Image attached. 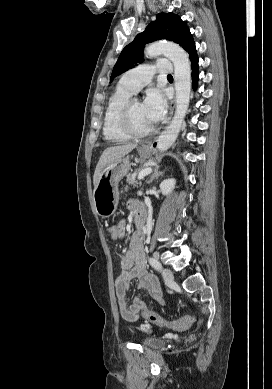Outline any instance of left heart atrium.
Here are the masks:
<instances>
[{
	"mask_svg": "<svg viewBox=\"0 0 272 389\" xmlns=\"http://www.w3.org/2000/svg\"><path fill=\"white\" fill-rule=\"evenodd\" d=\"M142 106L152 124L159 121L166 111V101L162 91L157 88L149 90Z\"/></svg>",
	"mask_w": 272,
	"mask_h": 389,
	"instance_id": "1",
	"label": "left heart atrium"
}]
</instances>
